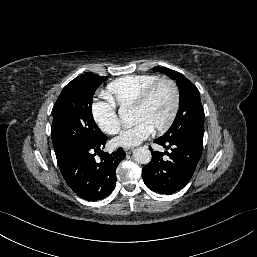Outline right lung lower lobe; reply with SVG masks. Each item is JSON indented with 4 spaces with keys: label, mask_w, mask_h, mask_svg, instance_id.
Returning <instances> with one entry per match:
<instances>
[{
    "label": "right lung lower lobe",
    "mask_w": 257,
    "mask_h": 257,
    "mask_svg": "<svg viewBox=\"0 0 257 257\" xmlns=\"http://www.w3.org/2000/svg\"><path fill=\"white\" fill-rule=\"evenodd\" d=\"M106 140L105 136L96 145L71 147L56 156L68 186L87 201L101 200L110 195L116 185V168L126 156L119 148L112 154L99 152L101 161L96 162L94 157L100 148H104Z\"/></svg>",
    "instance_id": "98d812e1"
}]
</instances>
